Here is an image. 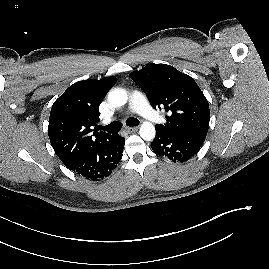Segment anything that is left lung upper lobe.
Masks as SVG:
<instances>
[{"label": "left lung upper lobe", "instance_id": "obj_1", "mask_svg": "<svg viewBox=\"0 0 269 269\" xmlns=\"http://www.w3.org/2000/svg\"><path fill=\"white\" fill-rule=\"evenodd\" d=\"M129 76L146 93L153 108L168 112L167 122L156 128L168 133L207 134L209 104L192 77L166 64H149Z\"/></svg>", "mask_w": 269, "mask_h": 269}]
</instances>
